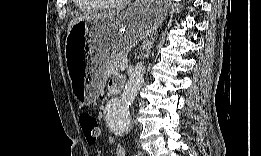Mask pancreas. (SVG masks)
<instances>
[{"instance_id":"obj_1","label":"pancreas","mask_w":261,"mask_h":156,"mask_svg":"<svg viewBox=\"0 0 261 156\" xmlns=\"http://www.w3.org/2000/svg\"><path fill=\"white\" fill-rule=\"evenodd\" d=\"M126 60L124 52L113 53L103 67L104 76H109L120 71L119 65Z\"/></svg>"}]
</instances>
